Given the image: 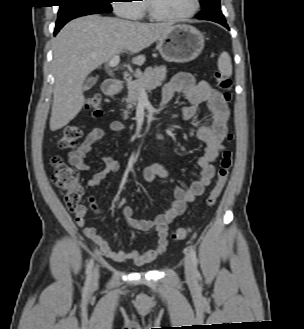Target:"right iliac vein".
<instances>
[{
    "instance_id": "1",
    "label": "right iliac vein",
    "mask_w": 304,
    "mask_h": 329,
    "mask_svg": "<svg viewBox=\"0 0 304 329\" xmlns=\"http://www.w3.org/2000/svg\"><path fill=\"white\" fill-rule=\"evenodd\" d=\"M98 279H99V268L97 267V268H95V270H94V272H93V274L91 276V282H92V284L97 283Z\"/></svg>"
}]
</instances>
